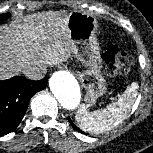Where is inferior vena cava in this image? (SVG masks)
Masks as SVG:
<instances>
[{"label":"inferior vena cava","mask_w":153,"mask_h":153,"mask_svg":"<svg viewBox=\"0 0 153 153\" xmlns=\"http://www.w3.org/2000/svg\"><path fill=\"white\" fill-rule=\"evenodd\" d=\"M46 64L42 62L33 63L23 69V73L28 79L40 80L46 74Z\"/></svg>","instance_id":"obj_1"}]
</instances>
